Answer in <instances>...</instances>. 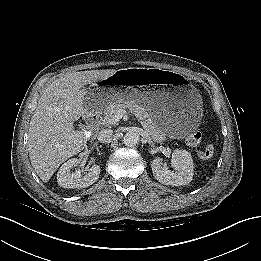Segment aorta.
Segmentation results:
<instances>
[{
  "label": "aorta",
  "mask_w": 261,
  "mask_h": 261,
  "mask_svg": "<svg viewBox=\"0 0 261 261\" xmlns=\"http://www.w3.org/2000/svg\"><path fill=\"white\" fill-rule=\"evenodd\" d=\"M140 142V135L137 131H129L123 137V143L128 147H134Z\"/></svg>",
  "instance_id": "762f6f07"
}]
</instances>
